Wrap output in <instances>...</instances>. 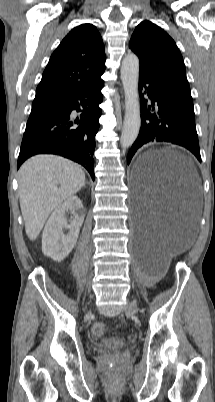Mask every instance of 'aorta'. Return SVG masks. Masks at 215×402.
I'll list each match as a JSON object with an SVG mask.
<instances>
[{
	"label": "aorta",
	"instance_id": "762f6f07",
	"mask_svg": "<svg viewBox=\"0 0 215 402\" xmlns=\"http://www.w3.org/2000/svg\"><path fill=\"white\" fill-rule=\"evenodd\" d=\"M138 79L139 59L135 54H128L121 66V80L125 93V116L120 139L123 148H128L134 143L140 130Z\"/></svg>",
	"mask_w": 215,
	"mask_h": 402
}]
</instances>
